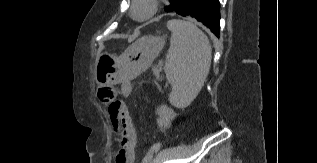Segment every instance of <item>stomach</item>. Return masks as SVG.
<instances>
[{"instance_id":"0dacf381","label":"stomach","mask_w":317,"mask_h":163,"mask_svg":"<svg viewBox=\"0 0 317 163\" xmlns=\"http://www.w3.org/2000/svg\"><path fill=\"white\" fill-rule=\"evenodd\" d=\"M165 44L163 36H144L120 56L103 53L95 63V80L100 86L131 80L148 68Z\"/></svg>"}]
</instances>
